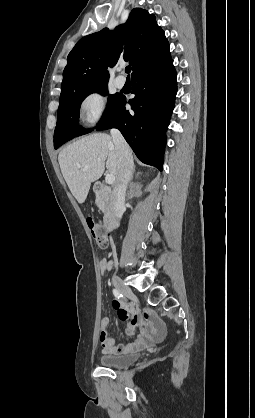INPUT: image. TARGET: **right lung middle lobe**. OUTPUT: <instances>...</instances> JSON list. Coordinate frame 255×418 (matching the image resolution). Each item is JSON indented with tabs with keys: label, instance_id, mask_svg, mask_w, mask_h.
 Masks as SVG:
<instances>
[{
	"label": "right lung middle lobe",
	"instance_id": "dd1d6c3e",
	"mask_svg": "<svg viewBox=\"0 0 255 418\" xmlns=\"http://www.w3.org/2000/svg\"><path fill=\"white\" fill-rule=\"evenodd\" d=\"M93 92L107 95V82L61 93L57 114V125L54 132L55 149L72 138L84 135L91 131L90 129L87 130L79 126V110L81 102ZM118 98L119 94L110 95L108 97L107 110L99 124L109 117Z\"/></svg>",
	"mask_w": 255,
	"mask_h": 418
}]
</instances>
